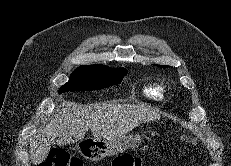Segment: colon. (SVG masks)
<instances>
[{
	"label": "colon",
	"instance_id": "5ec220e1",
	"mask_svg": "<svg viewBox=\"0 0 231 166\" xmlns=\"http://www.w3.org/2000/svg\"><path fill=\"white\" fill-rule=\"evenodd\" d=\"M142 160L139 157L124 154L116 157L112 166H141ZM40 166H83L78 158L72 157L68 151L62 148H53L47 159Z\"/></svg>",
	"mask_w": 231,
	"mask_h": 166
}]
</instances>
